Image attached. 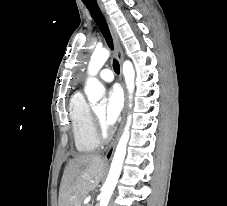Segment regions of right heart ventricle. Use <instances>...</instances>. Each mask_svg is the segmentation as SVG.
I'll list each match as a JSON object with an SVG mask.
<instances>
[{
	"instance_id": "1",
	"label": "right heart ventricle",
	"mask_w": 227,
	"mask_h": 206,
	"mask_svg": "<svg viewBox=\"0 0 227 206\" xmlns=\"http://www.w3.org/2000/svg\"><path fill=\"white\" fill-rule=\"evenodd\" d=\"M68 111L76 149L81 153L94 151L99 145V138L91 108L81 92L71 96Z\"/></svg>"
}]
</instances>
